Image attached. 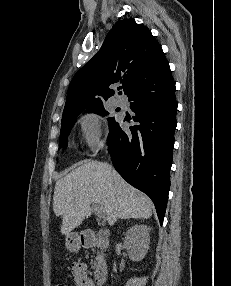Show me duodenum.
I'll return each instance as SVG.
<instances>
[{"label": "duodenum", "mask_w": 231, "mask_h": 286, "mask_svg": "<svg viewBox=\"0 0 231 286\" xmlns=\"http://www.w3.org/2000/svg\"><path fill=\"white\" fill-rule=\"evenodd\" d=\"M81 245L85 248H90L96 243L105 244L106 236L101 233H96L93 231H86L80 236ZM107 278V267L105 264L100 263L96 266L94 271V281L96 285H102Z\"/></svg>", "instance_id": "duodenum-1"}]
</instances>
